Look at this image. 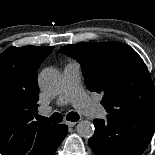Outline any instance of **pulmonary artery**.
I'll list each match as a JSON object with an SVG mask.
<instances>
[{"mask_svg":"<svg viewBox=\"0 0 155 155\" xmlns=\"http://www.w3.org/2000/svg\"><path fill=\"white\" fill-rule=\"evenodd\" d=\"M68 103L89 118H102L106 115L105 110L95 101L91 100L82 86L81 67L75 61L68 62L63 69V88L57 99V105L63 106ZM50 112L49 107L42 109V114Z\"/></svg>","mask_w":155,"mask_h":155,"instance_id":"pulmonary-artery-1","label":"pulmonary artery"}]
</instances>
